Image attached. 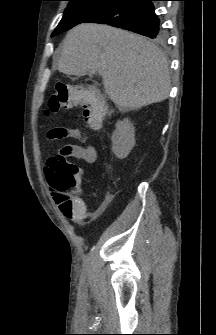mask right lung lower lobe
I'll list each match as a JSON object with an SVG mask.
<instances>
[{
	"instance_id": "obj_1",
	"label": "right lung lower lobe",
	"mask_w": 216,
	"mask_h": 335,
	"mask_svg": "<svg viewBox=\"0 0 216 335\" xmlns=\"http://www.w3.org/2000/svg\"><path fill=\"white\" fill-rule=\"evenodd\" d=\"M152 1L116 0L86 22L105 23L154 39L163 31Z\"/></svg>"
}]
</instances>
